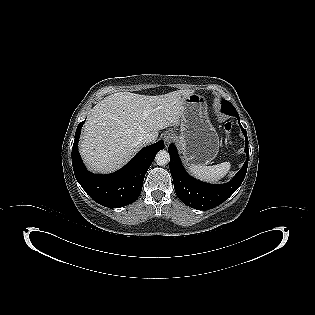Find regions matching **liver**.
I'll return each mask as SVG.
<instances>
[{"mask_svg":"<svg viewBox=\"0 0 315 315\" xmlns=\"http://www.w3.org/2000/svg\"><path fill=\"white\" fill-rule=\"evenodd\" d=\"M194 90H177L147 96L117 92L105 97L90 111L79 145L87 167L96 172L115 171L143 146L146 134L170 126L181 127L185 100Z\"/></svg>","mask_w":315,"mask_h":315,"instance_id":"6515ba94","label":"liver"}]
</instances>
